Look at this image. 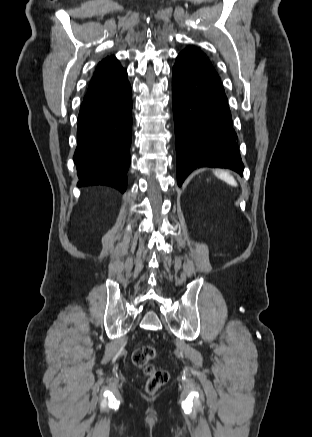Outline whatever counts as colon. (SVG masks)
<instances>
[{
    "instance_id": "colon-1",
    "label": "colon",
    "mask_w": 312,
    "mask_h": 437,
    "mask_svg": "<svg viewBox=\"0 0 312 437\" xmlns=\"http://www.w3.org/2000/svg\"><path fill=\"white\" fill-rule=\"evenodd\" d=\"M156 355L157 351L155 347L143 345L135 349L132 356L134 365L142 369L147 376L146 391L149 394H154L169 379L167 370L151 364V361L154 360Z\"/></svg>"
}]
</instances>
